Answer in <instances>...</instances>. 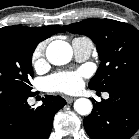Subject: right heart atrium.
<instances>
[{
    "mask_svg": "<svg viewBox=\"0 0 139 139\" xmlns=\"http://www.w3.org/2000/svg\"><path fill=\"white\" fill-rule=\"evenodd\" d=\"M45 45L43 43L36 46L32 53V64L35 68H39L44 63Z\"/></svg>",
    "mask_w": 139,
    "mask_h": 139,
    "instance_id": "obj_1",
    "label": "right heart atrium"
}]
</instances>
